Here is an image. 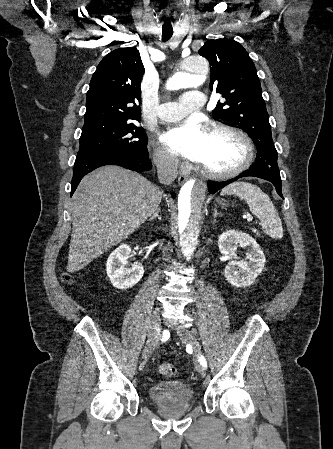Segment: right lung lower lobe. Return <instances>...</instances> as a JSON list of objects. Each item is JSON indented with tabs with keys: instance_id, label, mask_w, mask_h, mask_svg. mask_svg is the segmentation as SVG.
<instances>
[{
	"instance_id": "1",
	"label": "right lung lower lobe",
	"mask_w": 333,
	"mask_h": 449,
	"mask_svg": "<svg viewBox=\"0 0 333 449\" xmlns=\"http://www.w3.org/2000/svg\"><path fill=\"white\" fill-rule=\"evenodd\" d=\"M104 165H118L139 173L152 170L148 152L144 154H126L115 151L78 152L71 184V195L86 174Z\"/></svg>"
}]
</instances>
